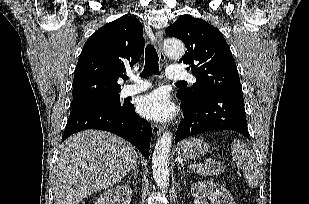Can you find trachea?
<instances>
[{"instance_id":"3493384b","label":"trachea","mask_w":309,"mask_h":204,"mask_svg":"<svg viewBox=\"0 0 309 204\" xmlns=\"http://www.w3.org/2000/svg\"><path fill=\"white\" fill-rule=\"evenodd\" d=\"M158 61L159 58L156 49L151 44L147 45L145 49V66L140 76L143 78H147L153 74L158 75L160 73ZM125 79H127V76H125ZM185 83V81L177 82V84Z\"/></svg>"}]
</instances>
